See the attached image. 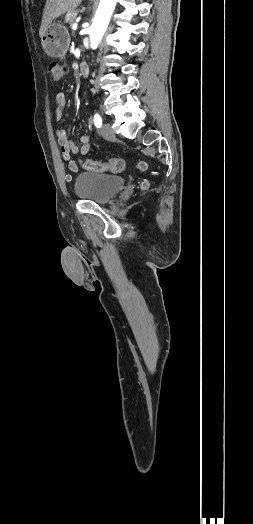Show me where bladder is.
Returning <instances> with one entry per match:
<instances>
[{"mask_svg": "<svg viewBox=\"0 0 253 524\" xmlns=\"http://www.w3.org/2000/svg\"><path fill=\"white\" fill-rule=\"evenodd\" d=\"M124 177L102 173H80L74 181L78 198L96 204L109 203L125 186Z\"/></svg>", "mask_w": 253, "mask_h": 524, "instance_id": "1", "label": "bladder"}]
</instances>
